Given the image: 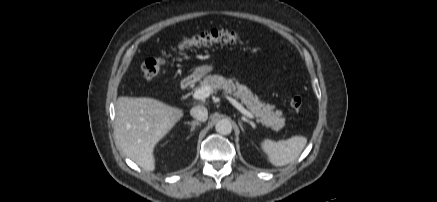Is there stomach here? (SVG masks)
Returning <instances> with one entry per match:
<instances>
[{
  "label": "stomach",
  "instance_id": "1",
  "mask_svg": "<svg viewBox=\"0 0 437 202\" xmlns=\"http://www.w3.org/2000/svg\"><path fill=\"white\" fill-rule=\"evenodd\" d=\"M214 67L212 65H201L194 69L192 76L195 79H200L203 76L207 75L211 71H213Z\"/></svg>",
  "mask_w": 437,
  "mask_h": 202
}]
</instances>
